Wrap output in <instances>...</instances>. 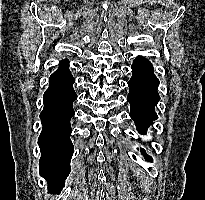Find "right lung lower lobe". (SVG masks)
<instances>
[{"instance_id":"right-lung-lower-lobe-1","label":"right lung lower lobe","mask_w":205,"mask_h":200,"mask_svg":"<svg viewBox=\"0 0 205 200\" xmlns=\"http://www.w3.org/2000/svg\"><path fill=\"white\" fill-rule=\"evenodd\" d=\"M69 61L60 62L59 69L49 78L45 91L44 109L40 114L43 124L38 144L42 152L39 172L48 181L50 191H60L70 172L73 144L70 119L74 116L73 101L77 95L73 89L75 79L69 69Z\"/></svg>"}]
</instances>
